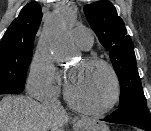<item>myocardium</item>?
<instances>
[{"mask_svg": "<svg viewBox=\"0 0 151 131\" xmlns=\"http://www.w3.org/2000/svg\"><path fill=\"white\" fill-rule=\"evenodd\" d=\"M82 62L85 65H100L108 71L111 81H112V94L109 100L104 105L100 107H90V106L82 104L81 102H79L73 97L69 88V83L67 81L64 86L65 99L71 107H73L79 112H82L88 115H104L110 112L120 100L121 85H120L119 77L115 69L113 68V66L108 61L100 57L88 56L84 58Z\"/></svg>", "mask_w": 151, "mask_h": 131, "instance_id": "obj_1", "label": "myocardium"}]
</instances>
